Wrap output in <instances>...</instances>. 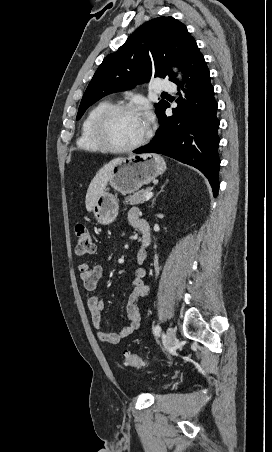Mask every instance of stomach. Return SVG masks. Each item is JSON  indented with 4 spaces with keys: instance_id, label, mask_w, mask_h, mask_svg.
Listing matches in <instances>:
<instances>
[{
    "instance_id": "obj_1",
    "label": "stomach",
    "mask_w": 272,
    "mask_h": 452,
    "mask_svg": "<svg viewBox=\"0 0 272 452\" xmlns=\"http://www.w3.org/2000/svg\"><path fill=\"white\" fill-rule=\"evenodd\" d=\"M166 164L156 154H130L122 158L112 169L108 183L117 192L127 195L149 184L163 174ZM119 204L106 190L97 198L92 212L99 224L109 225L118 215Z\"/></svg>"
}]
</instances>
